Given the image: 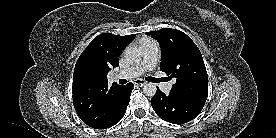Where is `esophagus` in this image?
Returning a JSON list of instances; mask_svg holds the SVG:
<instances>
[{
	"label": "esophagus",
	"instance_id": "1",
	"mask_svg": "<svg viewBox=\"0 0 276 138\" xmlns=\"http://www.w3.org/2000/svg\"><path fill=\"white\" fill-rule=\"evenodd\" d=\"M134 84L138 85V86H143V85L146 84V82L142 79H137V80L134 81Z\"/></svg>",
	"mask_w": 276,
	"mask_h": 138
}]
</instances>
